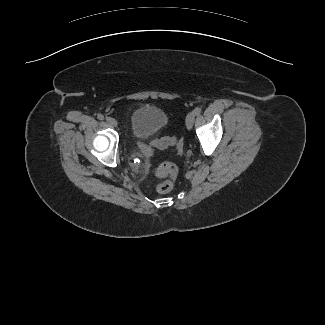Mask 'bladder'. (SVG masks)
<instances>
[{
	"label": "bladder",
	"instance_id": "bladder-1",
	"mask_svg": "<svg viewBox=\"0 0 325 325\" xmlns=\"http://www.w3.org/2000/svg\"><path fill=\"white\" fill-rule=\"evenodd\" d=\"M168 124L169 117L162 109L155 106H140L131 114V137L134 140L150 138L165 129Z\"/></svg>",
	"mask_w": 325,
	"mask_h": 325
}]
</instances>
